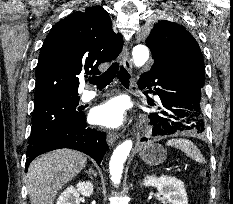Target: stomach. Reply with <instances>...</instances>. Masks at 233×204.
Here are the masks:
<instances>
[{
  "mask_svg": "<svg viewBox=\"0 0 233 204\" xmlns=\"http://www.w3.org/2000/svg\"><path fill=\"white\" fill-rule=\"evenodd\" d=\"M139 156L145 163L154 166L166 160L167 152L161 145L149 143L140 149Z\"/></svg>",
  "mask_w": 233,
  "mask_h": 204,
  "instance_id": "stomach-1",
  "label": "stomach"
}]
</instances>
